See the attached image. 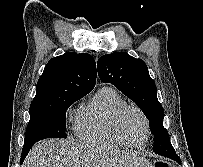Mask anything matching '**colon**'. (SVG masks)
<instances>
[{"instance_id": "obj_1", "label": "colon", "mask_w": 203, "mask_h": 167, "mask_svg": "<svg viewBox=\"0 0 203 167\" xmlns=\"http://www.w3.org/2000/svg\"><path fill=\"white\" fill-rule=\"evenodd\" d=\"M155 167H171V166L166 162H157L155 164Z\"/></svg>"}]
</instances>
